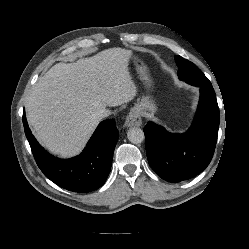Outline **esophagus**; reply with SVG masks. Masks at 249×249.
Here are the masks:
<instances>
[{
    "label": "esophagus",
    "mask_w": 249,
    "mask_h": 249,
    "mask_svg": "<svg viewBox=\"0 0 249 249\" xmlns=\"http://www.w3.org/2000/svg\"><path fill=\"white\" fill-rule=\"evenodd\" d=\"M142 124V118L137 110H132L126 117L125 126L126 127H139Z\"/></svg>",
    "instance_id": "esophagus-1"
}]
</instances>
